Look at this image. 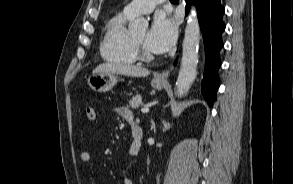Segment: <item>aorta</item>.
<instances>
[{
  "instance_id": "obj_1",
  "label": "aorta",
  "mask_w": 293,
  "mask_h": 184,
  "mask_svg": "<svg viewBox=\"0 0 293 184\" xmlns=\"http://www.w3.org/2000/svg\"><path fill=\"white\" fill-rule=\"evenodd\" d=\"M147 27L148 21L144 18H137L129 25V29L133 32L143 31ZM199 42L200 26L196 13L192 11L185 28L181 66L176 81V95L178 97L186 95L196 79Z\"/></svg>"
}]
</instances>
